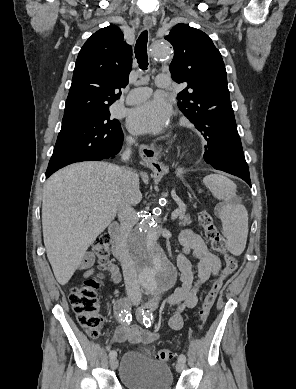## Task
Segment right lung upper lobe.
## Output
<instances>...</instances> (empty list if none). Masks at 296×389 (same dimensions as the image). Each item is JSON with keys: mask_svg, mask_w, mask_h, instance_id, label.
Here are the masks:
<instances>
[{"mask_svg": "<svg viewBox=\"0 0 296 389\" xmlns=\"http://www.w3.org/2000/svg\"><path fill=\"white\" fill-rule=\"evenodd\" d=\"M131 68L132 48L119 27L94 33L78 54L64 117L109 109L121 95L117 90L128 84Z\"/></svg>", "mask_w": 296, "mask_h": 389, "instance_id": "1", "label": "right lung upper lobe"}]
</instances>
